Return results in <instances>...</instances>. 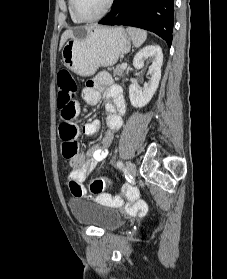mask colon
Masks as SVG:
<instances>
[{"instance_id": "5ec220e1", "label": "colon", "mask_w": 227, "mask_h": 279, "mask_svg": "<svg viewBox=\"0 0 227 279\" xmlns=\"http://www.w3.org/2000/svg\"><path fill=\"white\" fill-rule=\"evenodd\" d=\"M58 84L61 87V97L58 107L61 112V118L64 124L61 128L62 137V155L65 159H71L76 154L75 138L77 134V127L68 124L69 121L75 118L76 114V93L77 85L73 76L67 70H61L58 73ZM110 179L107 177H96L91 180L88 191H82L75 180H71V192L73 195L82 198H94L102 204L119 206L123 204V200L118 196H112L105 192ZM111 197V199L109 198Z\"/></svg>"}]
</instances>
